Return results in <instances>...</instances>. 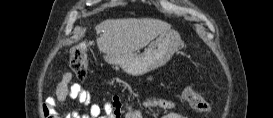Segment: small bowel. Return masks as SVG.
<instances>
[{
    "mask_svg": "<svg viewBox=\"0 0 273 118\" xmlns=\"http://www.w3.org/2000/svg\"><path fill=\"white\" fill-rule=\"evenodd\" d=\"M188 89L186 88L183 92V99L193 107L189 96ZM70 97L77 100L79 105L84 108V113H79L78 111L73 112L68 115L67 118H102L103 113L106 114L108 118H120L122 114L121 103L117 96L111 99L103 101V103L93 102L91 95L87 90H85L81 85L74 84L71 87ZM201 97V96H200ZM204 99L203 97H201ZM141 106L159 107L164 110L170 111L164 116V118H184L179 113L173 112L172 110L177 108V103L173 100L158 97V96H148L142 100ZM194 108V107H193ZM126 118H140L141 113L138 108L126 113Z\"/></svg>",
    "mask_w": 273,
    "mask_h": 118,
    "instance_id": "obj_1",
    "label": "small bowel"
}]
</instances>
